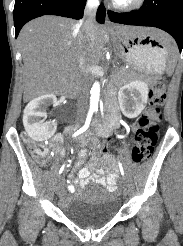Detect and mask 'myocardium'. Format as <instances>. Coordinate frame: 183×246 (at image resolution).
Returning <instances> with one entry per match:
<instances>
[{
  "label": "myocardium",
  "mask_w": 183,
  "mask_h": 246,
  "mask_svg": "<svg viewBox=\"0 0 183 246\" xmlns=\"http://www.w3.org/2000/svg\"><path fill=\"white\" fill-rule=\"evenodd\" d=\"M144 0H126V1H119L114 0L112 5L115 9L119 11H132L135 9H138L142 4Z\"/></svg>",
  "instance_id": "myocardium-1"
}]
</instances>
